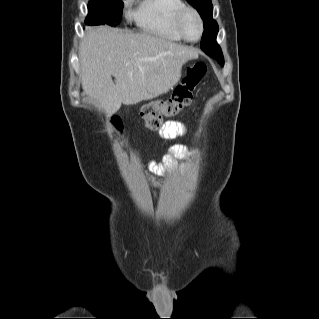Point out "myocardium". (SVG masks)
<instances>
[{
  "mask_svg": "<svg viewBox=\"0 0 319 319\" xmlns=\"http://www.w3.org/2000/svg\"><path fill=\"white\" fill-rule=\"evenodd\" d=\"M188 14L194 15L199 23L200 32H199L198 37L195 39L189 38L183 29V20L186 17V15H188ZM173 27H174L175 31L177 32V34L182 39H184L188 42L199 41L203 35V32H204L203 20L200 16L199 12L195 8L190 7V6H185L177 12V14L175 15L174 20H173Z\"/></svg>",
  "mask_w": 319,
  "mask_h": 319,
  "instance_id": "1",
  "label": "myocardium"
}]
</instances>
